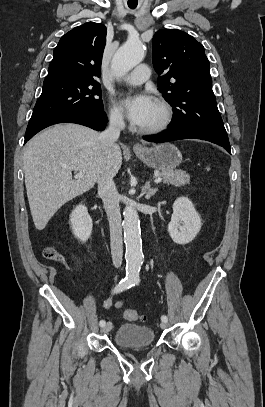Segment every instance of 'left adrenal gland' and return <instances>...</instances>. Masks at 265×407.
I'll list each match as a JSON object with an SVG mask.
<instances>
[{"label":"left adrenal gland","instance_id":"left-adrenal-gland-1","mask_svg":"<svg viewBox=\"0 0 265 407\" xmlns=\"http://www.w3.org/2000/svg\"><path fill=\"white\" fill-rule=\"evenodd\" d=\"M158 191V188H151L150 182H146L143 187V194L145 195L146 199H150L155 193Z\"/></svg>","mask_w":265,"mask_h":407}]
</instances>
